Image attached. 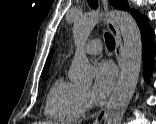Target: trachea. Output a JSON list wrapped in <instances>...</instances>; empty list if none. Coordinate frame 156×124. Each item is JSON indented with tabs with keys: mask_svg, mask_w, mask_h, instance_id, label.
Masks as SVG:
<instances>
[{
	"mask_svg": "<svg viewBox=\"0 0 156 124\" xmlns=\"http://www.w3.org/2000/svg\"><path fill=\"white\" fill-rule=\"evenodd\" d=\"M87 2L92 9H97L98 7L97 0H87ZM105 42L108 49L113 50L115 48V40L111 34L105 33Z\"/></svg>",
	"mask_w": 156,
	"mask_h": 124,
	"instance_id": "obj_1",
	"label": "trachea"
}]
</instances>
